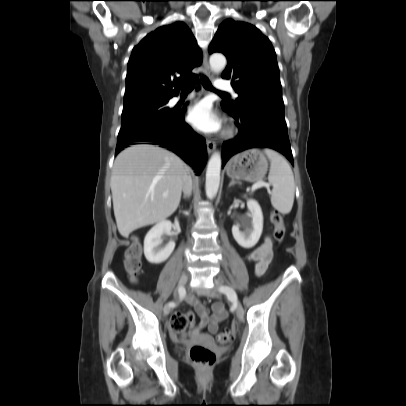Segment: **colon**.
Segmentation results:
<instances>
[{"instance_id":"obj_1","label":"colon","mask_w":406,"mask_h":406,"mask_svg":"<svg viewBox=\"0 0 406 406\" xmlns=\"http://www.w3.org/2000/svg\"><path fill=\"white\" fill-rule=\"evenodd\" d=\"M270 221L274 227L273 237L276 242L283 241L286 231L283 215L276 210L270 213ZM124 266L131 280H136L142 271V248L140 244L132 243L124 255ZM194 321L191 313L175 312L170 318V328L175 332H182ZM218 343L227 344L231 340V335L221 332L216 337ZM191 362L200 367H209L214 364L216 356L213 350L204 345H194L189 351Z\"/></svg>"}]
</instances>
